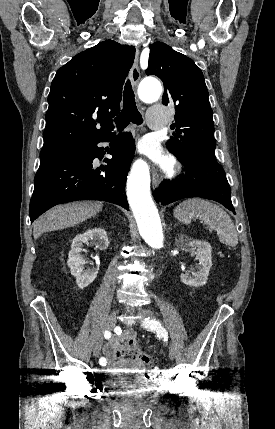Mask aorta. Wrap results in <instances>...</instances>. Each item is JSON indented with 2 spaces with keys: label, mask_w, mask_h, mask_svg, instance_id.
Listing matches in <instances>:
<instances>
[{
  "label": "aorta",
  "mask_w": 275,
  "mask_h": 429,
  "mask_svg": "<svg viewBox=\"0 0 275 429\" xmlns=\"http://www.w3.org/2000/svg\"><path fill=\"white\" fill-rule=\"evenodd\" d=\"M161 93L162 86L156 79H148L139 87V96L146 103L157 101ZM127 197L141 237L152 248H162L164 237L158 210L151 198L149 170L141 163L134 164L128 176Z\"/></svg>",
  "instance_id": "1"
}]
</instances>
